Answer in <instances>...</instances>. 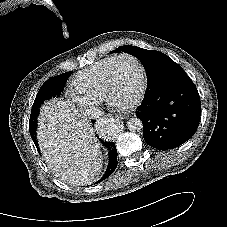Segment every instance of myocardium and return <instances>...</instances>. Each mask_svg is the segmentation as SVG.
<instances>
[{
	"instance_id": "f54148a6",
	"label": "myocardium",
	"mask_w": 227,
	"mask_h": 227,
	"mask_svg": "<svg viewBox=\"0 0 227 227\" xmlns=\"http://www.w3.org/2000/svg\"><path fill=\"white\" fill-rule=\"evenodd\" d=\"M125 58L131 59L137 64V66L140 70V74H141V86H140V90H139L137 96L134 98V100H132L128 104L120 105V104H117L113 100L112 90H113V85H114V73H115L116 66L121 60H123ZM147 86H148L147 72H146V69H145L143 63L140 61V59L132 54H127V53L121 54L115 58V60L113 61V63L111 64V66L107 72L106 79H105V85H104V98L110 106L119 107L122 109L133 108V107L137 106L143 100V98L146 94V91H147Z\"/></svg>"
}]
</instances>
